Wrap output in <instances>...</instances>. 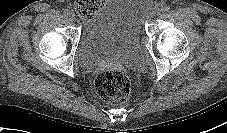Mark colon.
Returning a JSON list of instances; mask_svg holds the SVG:
<instances>
[{"label":"colon","mask_w":227,"mask_h":133,"mask_svg":"<svg viewBox=\"0 0 227 133\" xmlns=\"http://www.w3.org/2000/svg\"><path fill=\"white\" fill-rule=\"evenodd\" d=\"M104 4V0H76L75 9L82 17H90ZM98 95L112 103H123L131 94V81L120 70L100 71L95 80Z\"/></svg>","instance_id":"5ec220e1"}]
</instances>
